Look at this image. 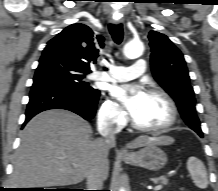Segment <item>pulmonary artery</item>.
<instances>
[{"label":"pulmonary artery","instance_id":"e3ab8cb5","mask_svg":"<svg viewBox=\"0 0 218 191\" xmlns=\"http://www.w3.org/2000/svg\"><path fill=\"white\" fill-rule=\"evenodd\" d=\"M146 70V61L137 59L132 66H110L106 72H95L91 74V79L108 81V82H123L132 80L142 75Z\"/></svg>","mask_w":218,"mask_h":191}]
</instances>
